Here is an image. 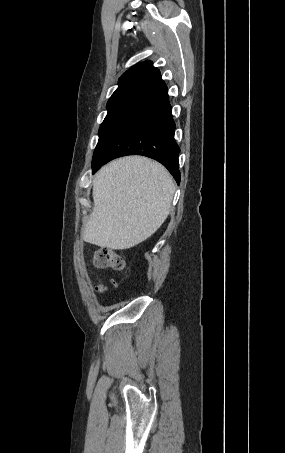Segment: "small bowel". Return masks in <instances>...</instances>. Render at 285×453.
<instances>
[{"label":"small bowel","mask_w":285,"mask_h":453,"mask_svg":"<svg viewBox=\"0 0 285 453\" xmlns=\"http://www.w3.org/2000/svg\"><path fill=\"white\" fill-rule=\"evenodd\" d=\"M106 290H107V286L101 280H99L95 287V291L97 293L101 294V293H104Z\"/></svg>","instance_id":"small-bowel-1"}]
</instances>
